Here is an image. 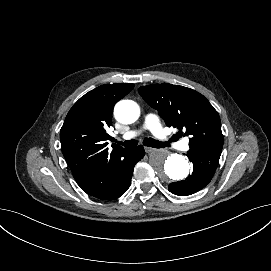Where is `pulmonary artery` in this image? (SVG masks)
Wrapping results in <instances>:
<instances>
[{
    "label": "pulmonary artery",
    "instance_id": "e3ab8cb5",
    "mask_svg": "<svg viewBox=\"0 0 271 271\" xmlns=\"http://www.w3.org/2000/svg\"><path fill=\"white\" fill-rule=\"evenodd\" d=\"M144 125L147 129H149L158 141L164 146H170L171 148H177L178 150L185 151L188 148V145L185 141L177 142L172 141L171 137L168 136L165 131L162 129L161 118L156 113H149L144 118ZM139 132L130 131L121 137L122 140H130L136 137Z\"/></svg>",
    "mask_w": 271,
    "mask_h": 271
}]
</instances>
